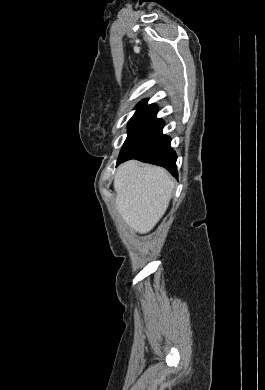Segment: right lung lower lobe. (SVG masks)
Here are the masks:
<instances>
[{
  "label": "right lung lower lobe",
  "instance_id": "obj_1",
  "mask_svg": "<svg viewBox=\"0 0 265 390\" xmlns=\"http://www.w3.org/2000/svg\"><path fill=\"white\" fill-rule=\"evenodd\" d=\"M157 110L155 105L149 106L130 125L117 165L129 159H137L162 166L177 178V156L170 147V137L162 134L164 122L156 118Z\"/></svg>",
  "mask_w": 265,
  "mask_h": 390
}]
</instances>
